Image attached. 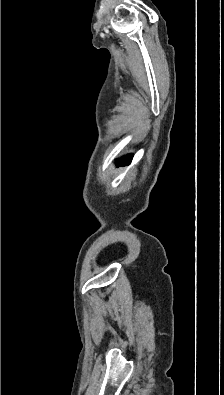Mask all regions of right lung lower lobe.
Returning a JSON list of instances; mask_svg holds the SVG:
<instances>
[{"label":"right lung lower lobe","instance_id":"1","mask_svg":"<svg viewBox=\"0 0 224 395\" xmlns=\"http://www.w3.org/2000/svg\"><path fill=\"white\" fill-rule=\"evenodd\" d=\"M131 159H132V156L127 155V156L121 158V160L118 161V164H120V165L128 164V163H130Z\"/></svg>","mask_w":224,"mask_h":395}]
</instances>
